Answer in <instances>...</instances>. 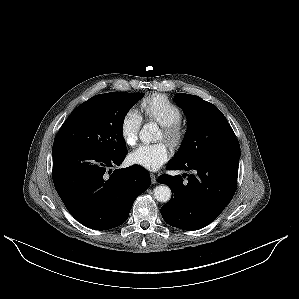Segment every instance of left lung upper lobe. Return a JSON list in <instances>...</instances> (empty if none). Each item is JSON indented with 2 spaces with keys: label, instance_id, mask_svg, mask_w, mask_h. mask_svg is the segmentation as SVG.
Wrapping results in <instances>:
<instances>
[{
  "label": "left lung upper lobe",
  "instance_id": "left-lung-upper-lobe-1",
  "mask_svg": "<svg viewBox=\"0 0 299 299\" xmlns=\"http://www.w3.org/2000/svg\"><path fill=\"white\" fill-rule=\"evenodd\" d=\"M174 101L187 117V132L172 162L198 158L216 147L237 140L227 119L215 105L184 93H177Z\"/></svg>",
  "mask_w": 299,
  "mask_h": 299
}]
</instances>
